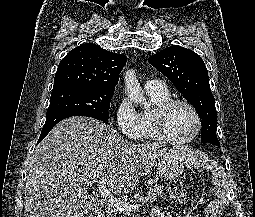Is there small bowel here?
Returning <instances> with one entry per match:
<instances>
[{"label": "small bowel", "mask_w": 255, "mask_h": 217, "mask_svg": "<svg viewBox=\"0 0 255 217\" xmlns=\"http://www.w3.org/2000/svg\"><path fill=\"white\" fill-rule=\"evenodd\" d=\"M218 203V208L215 212L210 213V209H212V206L209 205L207 209V217H215L217 213H219L222 210V205ZM151 217H173L171 214L163 212L159 207H154L151 212Z\"/></svg>", "instance_id": "c3829d8e"}]
</instances>
